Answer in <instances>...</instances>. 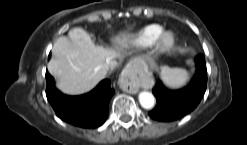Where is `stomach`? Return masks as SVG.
Instances as JSON below:
<instances>
[{"instance_id":"stomach-1","label":"stomach","mask_w":247,"mask_h":145,"mask_svg":"<svg viewBox=\"0 0 247 145\" xmlns=\"http://www.w3.org/2000/svg\"><path fill=\"white\" fill-rule=\"evenodd\" d=\"M151 59H147V60H144V59H135L132 61V65L134 67H136L137 69H140V70H145L148 68V65L151 63Z\"/></svg>"}]
</instances>
